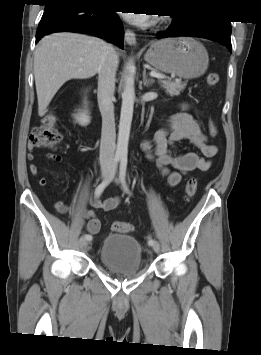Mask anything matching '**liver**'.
<instances>
[{
  "label": "liver",
  "instance_id": "6515ba94",
  "mask_svg": "<svg viewBox=\"0 0 261 355\" xmlns=\"http://www.w3.org/2000/svg\"><path fill=\"white\" fill-rule=\"evenodd\" d=\"M109 46L102 39L77 33L44 37L34 55L38 115H45L49 103L65 82L87 79L98 73Z\"/></svg>",
  "mask_w": 261,
  "mask_h": 355
}]
</instances>
